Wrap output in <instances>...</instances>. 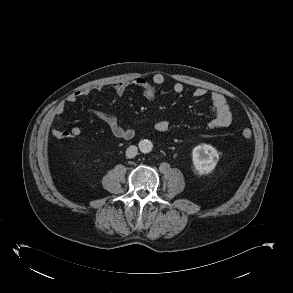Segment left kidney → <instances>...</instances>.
<instances>
[{
  "label": "left kidney",
  "instance_id": "5707ae66",
  "mask_svg": "<svg viewBox=\"0 0 293 293\" xmlns=\"http://www.w3.org/2000/svg\"><path fill=\"white\" fill-rule=\"evenodd\" d=\"M192 161L196 173L204 175L211 173L219 161L218 151L211 145L201 144L194 147L192 151Z\"/></svg>",
  "mask_w": 293,
  "mask_h": 293
}]
</instances>
